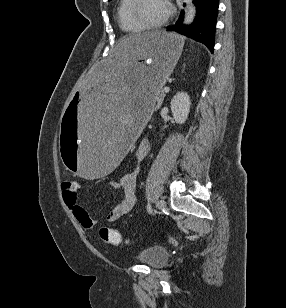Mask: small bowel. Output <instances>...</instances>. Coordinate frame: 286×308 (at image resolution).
Segmentation results:
<instances>
[{"mask_svg":"<svg viewBox=\"0 0 286 308\" xmlns=\"http://www.w3.org/2000/svg\"><path fill=\"white\" fill-rule=\"evenodd\" d=\"M149 153V142L141 140L136 149V158L141 161L147 157ZM139 170L134 169L125 173L119 181L112 182V186L120 188L123 191L122 200L110 211L107 216L109 222H115L122 216L128 214L136 201V184ZM65 203L69 206L78 223L87 231L94 229L96 222L89 216L85 208L78 201V193L75 195H67L63 193Z\"/></svg>","mask_w":286,"mask_h":308,"instance_id":"small-bowel-1","label":"small bowel"}]
</instances>
